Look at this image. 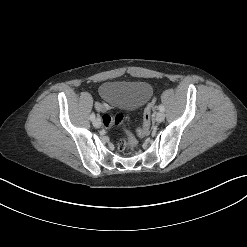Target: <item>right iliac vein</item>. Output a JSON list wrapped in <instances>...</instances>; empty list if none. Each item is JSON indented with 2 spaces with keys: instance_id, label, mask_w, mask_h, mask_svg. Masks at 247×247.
Returning <instances> with one entry per match:
<instances>
[{
  "instance_id": "right-iliac-vein-1",
  "label": "right iliac vein",
  "mask_w": 247,
  "mask_h": 247,
  "mask_svg": "<svg viewBox=\"0 0 247 247\" xmlns=\"http://www.w3.org/2000/svg\"><path fill=\"white\" fill-rule=\"evenodd\" d=\"M93 124L96 128H100L102 125L101 119L99 117H97L94 121Z\"/></svg>"
}]
</instances>
